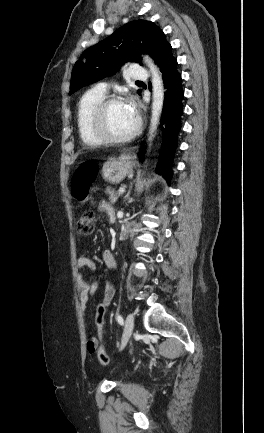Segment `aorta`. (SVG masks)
I'll return each instance as SVG.
<instances>
[{
    "mask_svg": "<svg viewBox=\"0 0 264 433\" xmlns=\"http://www.w3.org/2000/svg\"><path fill=\"white\" fill-rule=\"evenodd\" d=\"M144 61L150 69L152 79V110L148 137L151 143L155 136L162 113L164 103V86L161 73L158 67L154 64L153 60L148 56H145Z\"/></svg>",
    "mask_w": 264,
    "mask_h": 433,
    "instance_id": "762f6f07",
    "label": "aorta"
}]
</instances>
